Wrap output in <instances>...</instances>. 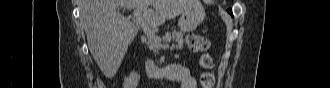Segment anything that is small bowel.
<instances>
[{
    "instance_id": "1",
    "label": "small bowel",
    "mask_w": 330,
    "mask_h": 88,
    "mask_svg": "<svg viewBox=\"0 0 330 88\" xmlns=\"http://www.w3.org/2000/svg\"><path fill=\"white\" fill-rule=\"evenodd\" d=\"M167 80L180 83V88H196L197 83L190 69L184 65L172 64L166 69Z\"/></svg>"
}]
</instances>
